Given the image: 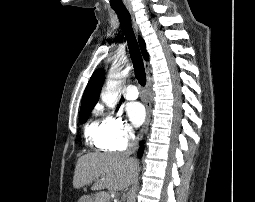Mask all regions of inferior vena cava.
<instances>
[{
  "instance_id": "1",
  "label": "inferior vena cava",
  "mask_w": 255,
  "mask_h": 202,
  "mask_svg": "<svg viewBox=\"0 0 255 202\" xmlns=\"http://www.w3.org/2000/svg\"><path fill=\"white\" fill-rule=\"evenodd\" d=\"M136 148H137L136 141L134 138H132V143L130 144L129 149L125 152V155L129 156L133 154L136 151ZM133 160L136 161L135 159Z\"/></svg>"
}]
</instances>
